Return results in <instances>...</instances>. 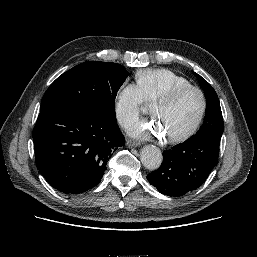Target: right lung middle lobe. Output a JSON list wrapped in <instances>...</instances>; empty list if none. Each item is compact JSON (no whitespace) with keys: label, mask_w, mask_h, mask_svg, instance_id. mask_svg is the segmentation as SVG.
Segmentation results:
<instances>
[{"label":"right lung middle lobe","mask_w":257,"mask_h":257,"mask_svg":"<svg viewBox=\"0 0 257 257\" xmlns=\"http://www.w3.org/2000/svg\"><path fill=\"white\" fill-rule=\"evenodd\" d=\"M128 75V71L117 63H81L49 86L42 98L40 112L58 106L76 105L115 116V98Z\"/></svg>","instance_id":"right-lung-middle-lobe-1"}]
</instances>
